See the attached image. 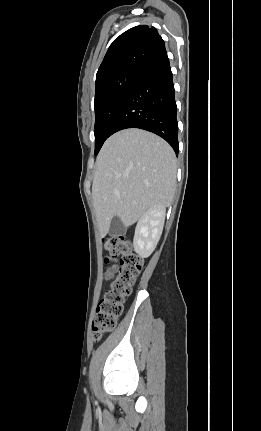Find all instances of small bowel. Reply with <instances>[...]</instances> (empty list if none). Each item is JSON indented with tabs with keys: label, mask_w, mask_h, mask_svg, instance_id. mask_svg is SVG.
Returning a JSON list of instances; mask_svg holds the SVG:
<instances>
[{
	"label": "small bowel",
	"mask_w": 261,
	"mask_h": 431,
	"mask_svg": "<svg viewBox=\"0 0 261 431\" xmlns=\"http://www.w3.org/2000/svg\"><path fill=\"white\" fill-rule=\"evenodd\" d=\"M112 274H113V270L109 269L106 273V278L109 279L112 276Z\"/></svg>",
	"instance_id": "small-bowel-1"
}]
</instances>
